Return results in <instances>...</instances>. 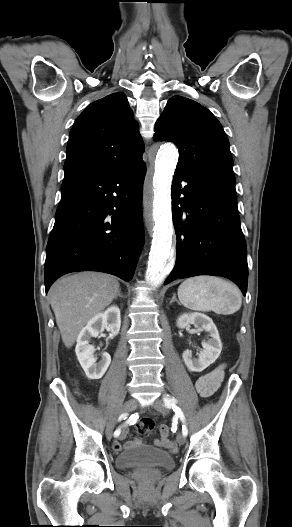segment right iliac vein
I'll list each match as a JSON object with an SVG mask.
<instances>
[{
	"label": "right iliac vein",
	"mask_w": 292,
	"mask_h": 527,
	"mask_svg": "<svg viewBox=\"0 0 292 527\" xmlns=\"http://www.w3.org/2000/svg\"><path fill=\"white\" fill-rule=\"evenodd\" d=\"M137 408V401L135 399H130L126 401L121 408L119 409L120 412H131ZM116 421V415L109 421L106 428V435L107 437H111L113 433V429L115 426Z\"/></svg>",
	"instance_id": "63e3f726"
}]
</instances>
